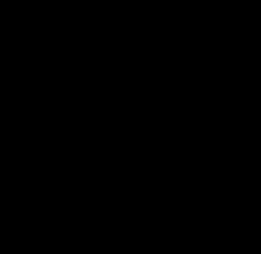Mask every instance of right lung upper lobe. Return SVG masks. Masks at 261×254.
<instances>
[{"label": "right lung upper lobe", "mask_w": 261, "mask_h": 254, "mask_svg": "<svg viewBox=\"0 0 261 254\" xmlns=\"http://www.w3.org/2000/svg\"><path fill=\"white\" fill-rule=\"evenodd\" d=\"M79 91L80 90L76 88H66L52 103L49 109L47 125L45 128V143L50 141V139L54 136L65 131L71 130L82 133L84 130V123L79 117L68 115L63 112V107L65 106L67 100Z\"/></svg>", "instance_id": "right-lung-upper-lobe-1"}]
</instances>
